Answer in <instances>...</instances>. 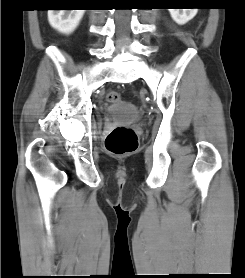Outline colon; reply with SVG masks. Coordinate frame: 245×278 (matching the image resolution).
Here are the masks:
<instances>
[{"instance_id":"5ec220e1","label":"colon","mask_w":245,"mask_h":278,"mask_svg":"<svg viewBox=\"0 0 245 278\" xmlns=\"http://www.w3.org/2000/svg\"><path fill=\"white\" fill-rule=\"evenodd\" d=\"M107 99L117 101V93H108ZM106 150L113 156H125L134 153L138 148V139L134 130L127 126L115 127L105 140Z\"/></svg>"}]
</instances>
